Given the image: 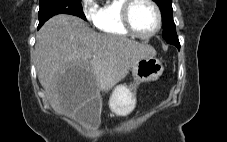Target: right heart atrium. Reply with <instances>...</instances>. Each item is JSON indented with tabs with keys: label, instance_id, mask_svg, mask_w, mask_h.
<instances>
[{
	"label": "right heart atrium",
	"instance_id": "1",
	"mask_svg": "<svg viewBox=\"0 0 227 142\" xmlns=\"http://www.w3.org/2000/svg\"><path fill=\"white\" fill-rule=\"evenodd\" d=\"M81 8L82 13L84 17L92 22L95 23L97 12H98V6L96 4L95 0H81Z\"/></svg>",
	"mask_w": 227,
	"mask_h": 142
}]
</instances>
